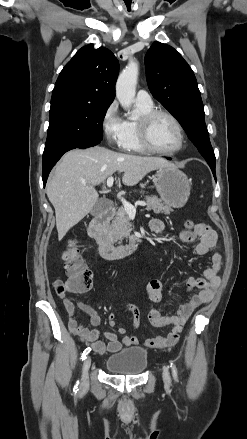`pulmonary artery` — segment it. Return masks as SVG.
Instances as JSON below:
<instances>
[{"label": "pulmonary artery", "mask_w": 247, "mask_h": 439, "mask_svg": "<svg viewBox=\"0 0 247 439\" xmlns=\"http://www.w3.org/2000/svg\"><path fill=\"white\" fill-rule=\"evenodd\" d=\"M136 102L145 104V105H151L153 104V100L150 96V94L145 90H139L136 95Z\"/></svg>", "instance_id": "1"}]
</instances>
